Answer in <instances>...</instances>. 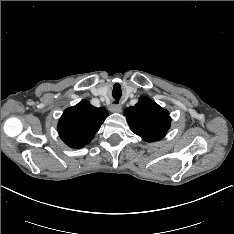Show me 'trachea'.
Segmentation results:
<instances>
[{"label": "trachea", "mask_w": 234, "mask_h": 234, "mask_svg": "<svg viewBox=\"0 0 234 234\" xmlns=\"http://www.w3.org/2000/svg\"><path fill=\"white\" fill-rule=\"evenodd\" d=\"M113 103H116V104H117V103H118V101H116V102H113Z\"/></svg>", "instance_id": "trachea-1"}]
</instances>
